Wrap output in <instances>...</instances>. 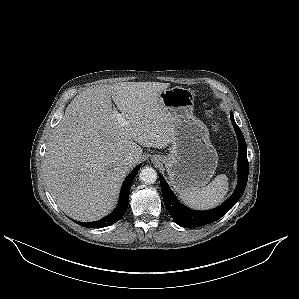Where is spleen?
Instances as JSON below:
<instances>
[{
  "label": "spleen",
  "mask_w": 299,
  "mask_h": 299,
  "mask_svg": "<svg viewBox=\"0 0 299 299\" xmlns=\"http://www.w3.org/2000/svg\"><path fill=\"white\" fill-rule=\"evenodd\" d=\"M228 192V177L218 175L207 186L180 193L181 200L193 209L205 210L219 205Z\"/></svg>",
  "instance_id": "1"
}]
</instances>
